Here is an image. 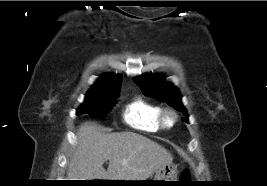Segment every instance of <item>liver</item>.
<instances>
[{
    "label": "liver",
    "instance_id": "liver-1",
    "mask_svg": "<svg viewBox=\"0 0 267 186\" xmlns=\"http://www.w3.org/2000/svg\"><path fill=\"white\" fill-rule=\"evenodd\" d=\"M77 146L68 162V180L143 181L172 155L149 138L134 133L105 134L92 122H84L76 133ZM109 161L107 171L103 168Z\"/></svg>",
    "mask_w": 267,
    "mask_h": 186
}]
</instances>
